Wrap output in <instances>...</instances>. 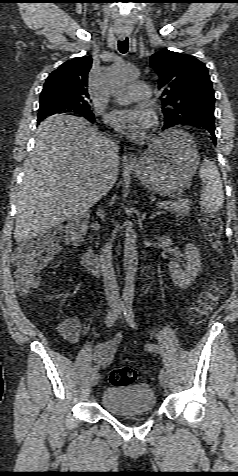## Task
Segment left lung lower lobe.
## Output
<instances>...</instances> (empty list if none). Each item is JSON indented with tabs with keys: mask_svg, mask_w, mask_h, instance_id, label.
Masks as SVG:
<instances>
[{
	"mask_svg": "<svg viewBox=\"0 0 238 476\" xmlns=\"http://www.w3.org/2000/svg\"><path fill=\"white\" fill-rule=\"evenodd\" d=\"M187 124H190V125H196V126H201V127H204L205 129H207L210 133H211V140L213 141V143L216 145V136L214 134V130H215V126H214V121H210V120H198V121H194V122H191V123H187ZM169 127H172V126H169ZM169 127H165L163 126V130L164 129H167Z\"/></svg>",
	"mask_w": 238,
	"mask_h": 476,
	"instance_id": "0a47b994",
	"label": "left lung lower lobe"
}]
</instances>
